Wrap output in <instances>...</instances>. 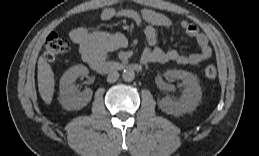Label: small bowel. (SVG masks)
Wrapping results in <instances>:
<instances>
[{"instance_id":"c3829d8e","label":"small bowel","mask_w":259,"mask_h":156,"mask_svg":"<svg viewBox=\"0 0 259 156\" xmlns=\"http://www.w3.org/2000/svg\"><path fill=\"white\" fill-rule=\"evenodd\" d=\"M116 18L131 19L137 25L145 24L144 33L147 46L141 56V61L145 64L174 62L180 65H196L212 55L207 37L195 24L188 21H181L179 28L186 36L196 41L198 51L190 55H183L174 49L162 50L156 45L157 29L162 28L169 31L173 26L171 20L165 15L150 9L116 10L112 7H106L101 12V19L104 21ZM69 36L76 44L82 58L89 64L94 61H104L109 52L125 48L128 45L127 38L121 33H90L85 27L73 28Z\"/></svg>"}]
</instances>
